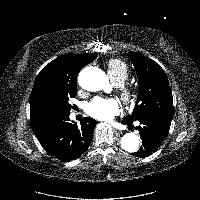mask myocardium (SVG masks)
Returning a JSON list of instances; mask_svg holds the SVG:
<instances>
[{
    "label": "myocardium",
    "instance_id": "myocardium-1",
    "mask_svg": "<svg viewBox=\"0 0 200 200\" xmlns=\"http://www.w3.org/2000/svg\"><path fill=\"white\" fill-rule=\"evenodd\" d=\"M119 94L125 104L133 103L137 96L136 90L128 85H121Z\"/></svg>",
    "mask_w": 200,
    "mask_h": 200
}]
</instances>
